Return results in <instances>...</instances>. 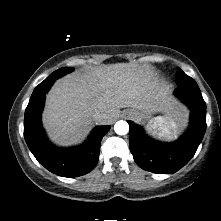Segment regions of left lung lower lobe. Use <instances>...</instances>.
Wrapping results in <instances>:
<instances>
[{
  "instance_id": "obj_1",
  "label": "left lung lower lobe",
  "mask_w": 221,
  "mask_h": 221,
  "mask_svg": "<svg viewBox=\"0 0 221 221\" xmlns=\"http://www.w3.org/2000/svg\"><path fill=\"white\" fill-rule=\"evenodd\" d=\"M174 94L191 110L186 133L173 143L150 139L142 127L128 121L129 144L134 160L146 171L172 174L186 165L194 156L206 131V104L199 89L177 88Z\"/></svg>"
}]
</instances>
